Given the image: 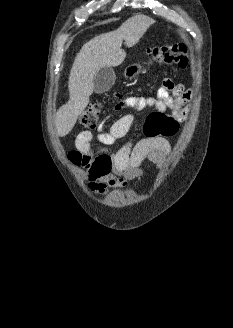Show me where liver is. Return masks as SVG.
Segmentation results:
<instances>
[{"label":"liver","instance_id":"obj_1","mask_svg":"<svg viewBox=\"0 0 233 328\" xmlns=\"http://www.w3.org/2000/svg\"><path fill=\"white\" fill-rule=\"evenodd\" d=\"M152 23L143 16L132 17L117 30L98 35L82 46L69 75V101L57 111L55 117L60 137L72 130L87 107L94 91L96 73L103 67L119 66L126 58L125 51L121 49L123 40L128 48L133 47Z\"/></svg>","mask_w":233,"mask_h":328}]
</instances>
